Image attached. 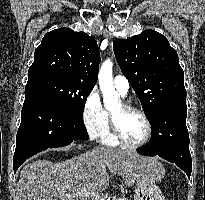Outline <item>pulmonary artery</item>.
I'll return each instance as SVG.
<instances>
[{
    "label": "pulmonary artery",
    "instance_id": "e3ab8cb5",
    "mask_svg": "<svg viewBox=\"0 0 205 200\" xmlns=\"http://www.w3.org/2000/svg\"><path fill=\"white\" fill-rule=\"evenodd\" d=\"M113 84L116 90L122 95L126 96L128 94L130 85L126 77L122 75H117L113 79Z\"/></svg>",
    "mask_w": 205,
    "mask_h": 200
}]
</instances>
